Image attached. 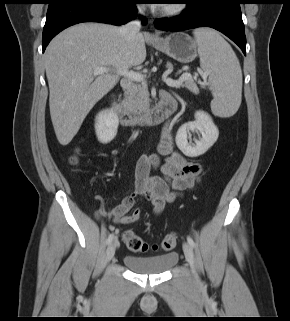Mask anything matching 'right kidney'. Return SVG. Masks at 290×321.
<instances>
[{"mask_svg":"<svg viewBox=\"0 0 290 321\" xmlns=\"http://www.w3.org/2000/svg\"><path fill=\"white\" fill-rule=\"evenodd\" d=\"M119 125L117 114L110 109L99 112L95 119V132L98 141L101 143H109L116 134Z\"/></svg>","mask_w":290,"mask_h":321,"instance_id":"1","label":"right kidney"}]
</instances>
